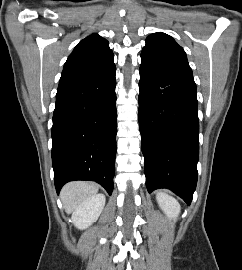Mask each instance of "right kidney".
Returning a JSON list of instances; mask_svg holds the SVG:
<instances>
[{
  "label": "right kidney",
  "instance_id": "ca27d5eb",
  "mask_svg": "<svg viewBox=\"0 0 242 270\" xmlns=\"http://www.w3.org/2000/svg\"><path fill=\"white\" fill-rule=\"evenodd\" d=\"M105 206V197L95 194L86 199L72 214L73 224L78 229H86L95 222Z\"/></svg>",
  "mask_w": 242,
  "mask_h": 270
}]
</instances>
